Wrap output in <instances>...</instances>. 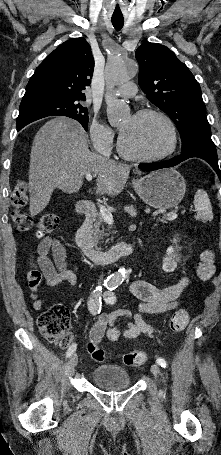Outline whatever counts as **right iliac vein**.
<instances>
[{
    "label": "right iliac vein",
    "instance_id": "obj_1",
    "mask_svg": "<svg viewBox=\"0 0 221 455\" xmlns=\"http://www.w3.org/2000/svg\"><path fill=\"white\" fill-rule=\"evenodd\" d=\"M78 364V356L77 354H72V356L69 359V366L70 368H75Z\"/></svg>",
    "mask_w": 221,
    "mask_h": 455
}]
</instances>
